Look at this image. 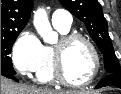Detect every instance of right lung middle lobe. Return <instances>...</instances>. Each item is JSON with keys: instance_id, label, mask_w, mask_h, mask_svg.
Wrapping results in <instances>:
<instances>
[{"instance_id": "obj_1", "label": "right lung middle lobe", "mask_w": 121, "mask_h": 94, "mask_svg": "<svg viewBox=\"0 0 121 94\" xmlns=\"http://www.w3.org/2000/svg\"><path fill=\"white\" fill-rule=\"evenodd\" d=\"M21 31L22 30L1 33V73L16 74L9 54L11 53V48Z\"/></svg>"}]
</instances>
